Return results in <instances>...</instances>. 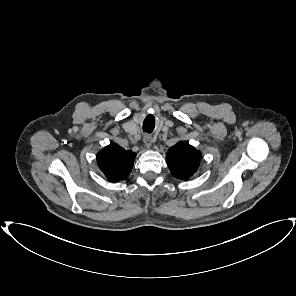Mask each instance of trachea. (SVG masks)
I'll use <instances>...</instances> for the list:
<instances>
[{
    "label": "trachea",
    "instance_id": "3493384b",
    "mask_svg": "<svg viewBox=\"0 0 296 296\" xmlns=\"http://www.w3.org/2000/svg\"><path fill=\"white\" fill-rule=\"evenodd\" d=\"M143 131L147 133H151L153 129L151 127H143Z\"/></svg>",
    "mask_w": 296,
    "mask_h": 296
}]
</instances>
